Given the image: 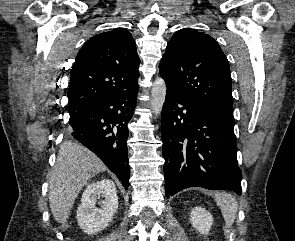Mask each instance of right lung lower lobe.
Returning <instances> with one entry per match:
<instances>
[{"label": "right lung lower lobe", "mask_w": 295, "mask_h": 241, "mask_svg": "<svg viewBox=\"0 0 295 241\" xmlns=\"http://www.w3.org/2000/svg\"><path fill=\"white\" fill-rule=\"evenodd\" d=\"M138 93L137 84L131 89L100 96L68 111L70 135L94 152L129 187L128 122L131 120Z\"/></svg>", "instance_id": "right-lung-lower-lobe-1"}]
</instances>
